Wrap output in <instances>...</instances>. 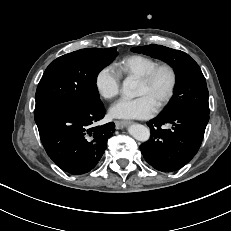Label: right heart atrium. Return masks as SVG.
<instances>
[{
    "label": "right heart atrium",
    "mask_w": 231,
    "mask_h": 231,
    "mask_svg": "<svg viewBox=\"0 0 231 231\" xmlns=\"http://www.w3.org/2000/svg\"><path fill=\"white\" fill-rule=\"evenodd\" d=\"M120 83L121 76L111 65L102 67L95 77V87L98 93L107 100L113 99L118 95Z\"/></svg>",
    "instance_id": "obj_1"
}]
</instances>
